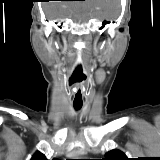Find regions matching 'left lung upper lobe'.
Listing matches in <instances>:
<instances>
[{
    "mask_svg": "<svg viewBox=\"0 0 160 160\" xmlns=\"http://www.w3.org/2000/svg\"><path fill=\"white\" fill-rule=\"evenodd\" d=\"M102 160H129V159L122 151L114 149L107 152L106 158H102Z\"/></svg>",
    "mask_w": 160,
    "mask_h": 160,
    "instance_id": "5c2ea615",
    "label": "left lung upper lobe"
}]
</instances>
